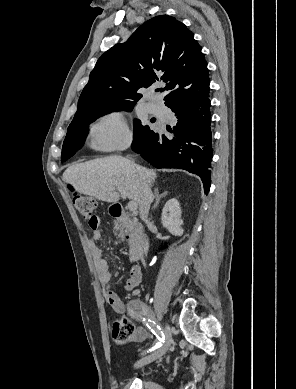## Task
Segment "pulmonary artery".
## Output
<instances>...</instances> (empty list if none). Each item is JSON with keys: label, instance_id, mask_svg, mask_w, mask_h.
I'll return each instance as SVG.
<instances>
[{"label": "pulmonary artery", "instance_id": "obj_1", "mask_svg": "<svg viewBox=\"0 0 296 389\" xmlns=\"http://www.w3.org/2000/svg\"><path fill=\"white\" fill-rule=\"evenodd\" d=\"M147 107L148 110L155 115H160L163 113V108L158 103L150 102L148 103Z\"/></svg>", "mask_w": 296, "mask_h": 389}]
</instances>
